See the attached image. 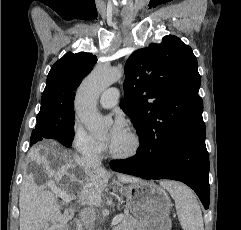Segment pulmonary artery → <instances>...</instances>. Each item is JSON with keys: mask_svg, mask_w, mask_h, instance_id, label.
<instances>
[{"mask_svg": "<svg viewBox=\"0 0 241 230\" xmlns=\"http://www.w3.org/2000/svg\"><path fill=\"white\" fill-rule=\"evenodd\" d=\"M119 98V90L117 88L106 89L100 97V105L103 108H112L117 104Z\"/></svg>", "mask_w": 241, "mask_h": 230, "instance_id": "1", "label": "pulmonary artery"}]
</instances>
